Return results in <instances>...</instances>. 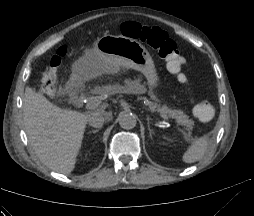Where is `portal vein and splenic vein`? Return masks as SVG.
I'll return each instance as SVG.
<instances>
[{
    "label": "portal vein and splenic vein",
    "mask_w": 254,
    "mask_h": 216,
    "mask_svg": "<svg viewBox=\"0 0 254 216\" xmlns=\"http://www.w3.org/2000/svg\"><path fill=\"white\" fill-rule=\"evenodd\" d=\"M100 105V103L96 100H92L90 102H88L85 106V108L87 110H91V109H95ZM159 115L166 121L170 120L169 116H167L165 113L163 112H159Z\"/></svg>",
    "instance_id": "1"
}]
</instances>
